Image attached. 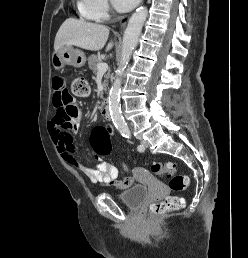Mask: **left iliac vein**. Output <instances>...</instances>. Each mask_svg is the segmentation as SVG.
<instances>
[{
  "label": "left iliac vein",
  "mask_w": 248,
  "mask_h": 258,
  "mask_svg": "<svg viewBox=\"0 0 248 258\" xmlns=\"http://www.w3.org/2000/svg\"><path fill=\"white\" fill-rule=\"evenodd\" d=\"M141 144H142V146H143L144 148H147V147H148V141H146V140H144V139L141 140Z\"/></svg>",
  "instance_id": "1"
}]
</instances>
